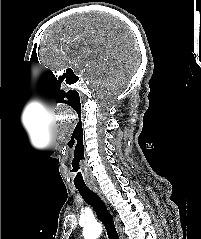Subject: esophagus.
I'll list each match as a JSON object with an SVG mask.
<instances>
[{"instance_id":"obj_1","label":"esophagus","mask_w":201,"mask_h":239,"mask_svg":"<svg viewBox=\"0 0 201 239\" xmlns=\"http://www.w3.org/2000/svg\"><path fill=\"white\" fill-rule=\"evenodd\" d=\"M92 188L100 197H102L101 192L99 191V189L97 187L94 186ZM118 231H119V234H120V239H124V236H123V233H122V229L119 226H118Z\"/></svg>"}]
</instances>
